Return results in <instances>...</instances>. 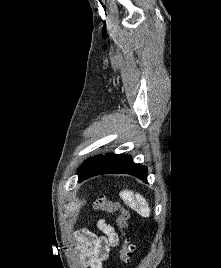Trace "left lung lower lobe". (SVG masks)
I'll list each match as a JSON object with an SVG mask.
<instances>
[{
    "label": "left lung lower lobe",
    "mask_w": 221,
    "mask_h": 268,
    "mask_svg": "<svg viewBox=\"0 0 221 268\" xmlns=\"http://www.w3.org/2000/svg\"><path fill=\"white\" fill-rule=\"evenodd\" d=\"M105 173H126L147 182V168L135 164L131 156L106 154L88 159L79 170L78 182Z\"/></svg>",
    "instance_id": "0a47b994"
}]
</instances>
